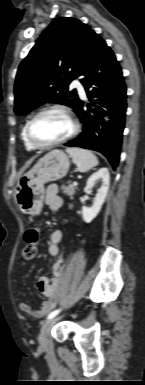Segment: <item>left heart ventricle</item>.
Segmentation results:
<instances>
[{"mask_svg":"<svg viewBox=\"0 0 145 385\" xmlns=\"http://www.w3.org/2000/svg\"><path fill=\"white\" fill-rule=\"evenodd\" d=\"M71 130L68 119L59 112H48L32 125V139L38 144H49L65 137Z\"/></svg>","mask_w":145,"mask_h":385,"instance_id":"obj_1","label":"left heart ventricle"}]
</instances>
